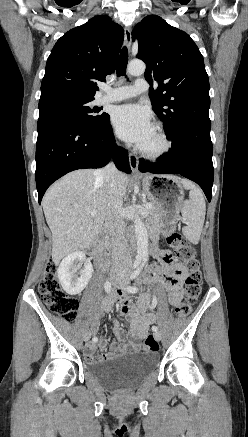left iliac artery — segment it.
Instances as JSON below:
<instances>
[{"instance_id": "1", "label": "left iliac artery", "mask_w": 248, "mask_h": 437, "mask_svg": "<svg viewBox=\"0 0 248 437\" xmlns=\"http://www.w3.org/2000/svg\"><path fill=\"white\" fill-rule=\"evenodd\" d=\"M141 268H142V267L138 268L136 271H134V272L131 274V276H130V279H131V280L136 279V278L138 277V275H139V273H140V271H141ZM127 291L130 292V293H135V292L138 291V288L135 287V286H128V287H127ZM156 304H157V298H156V296L154 295V297H153V301H152V307H155ZM152 330H153V331H157V330H158V327H157V326H152Z\"/></svg>"}]
</instances>
